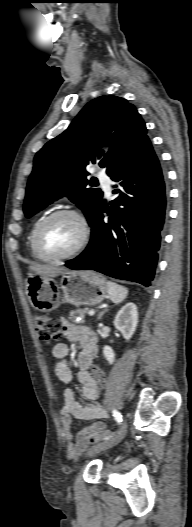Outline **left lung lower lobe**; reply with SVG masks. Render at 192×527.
<instances>
[{
  "mask_svg": "<svg viewBox=\"0 0 192 527\" xmlns=\"http://www.w3.org/2000/svg\"><path fill=\"white\" fill-rule=\"evenodd\" d=\"M111 179L117 182L111 210L100 206L89 245L66 266L150 286L165 219L166 190L165 174L149 139ZM104 212L108 223L103 221Z\"/></svg>",
  "mask_w": 192,
  "mask_h": 527,
  "instance_id": "0a47b994",
  "label": "left lung lower lobe"
}]
</instances>
